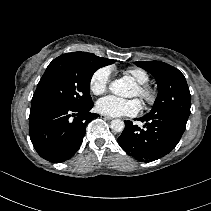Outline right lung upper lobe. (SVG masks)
<instances>
[{
  "mask_svg": "<svg viewBox=\"0 0 211 211\" xmlns=\"http://www.w3.org/2000/svg\"><path fill=\"white\" fill-rule=\"evenodd\" d=\"M100 60H111V59H106V58H102V57H98Z\"/></svg>",
  "mask_w": 211,
  "mask_h": 211,
  "instance_id": "cb5924a9",
  "label": "right lung upper lobe"
}]
</instances>
